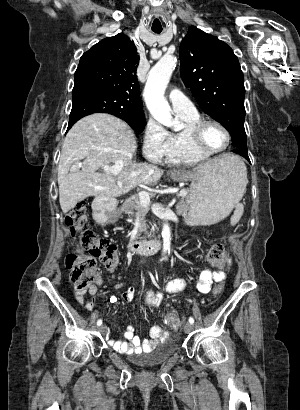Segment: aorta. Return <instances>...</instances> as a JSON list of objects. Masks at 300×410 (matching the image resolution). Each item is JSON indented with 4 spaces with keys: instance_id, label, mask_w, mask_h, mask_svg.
<instances>
[{
    "instance_id": "aorta-1",
    "label": "aorta",
    "mask_w": 300,
    "mask_h": 410,
    "mask_svg": "<svg viewBox=\"0 0 300 410\" xmlns=\"http://www.w3.org/2000/svg\"><path fill=\"white\" fill-rule=\"evenodd\" d=\"M176 62L177 59L174 56H163L150 70L143 94L151 115L161 124L175 130L180 128V123L178 120L173 119L171 108L164 97V93L176 67ZM162 239L163 254H165L170 250L171 245V232L167 222L163 224Z\"/></svg>"
}]
</instances>
